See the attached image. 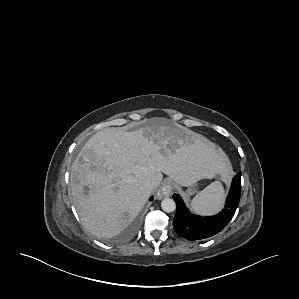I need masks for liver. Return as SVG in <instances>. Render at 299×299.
<instances>
[{
  "instance_id": "6515ba94",
  "label": "liver",
  "mask_w": 299,
  "mask_h": 299,
  "mask_svg": "<svg viewBox=\"0 0 299 299\" xmlns=\"http://www.w3.org/2000/svg\"><path fill=\"white\" fill-rule=\"evenodd\" d=\"M180 186L230 173L221 148L167 119H152L138 130L105 128L82 147L71 166L70 189L83 226L111 238L138 215L163 174Z\"/></svg>"
}]
</instances>
